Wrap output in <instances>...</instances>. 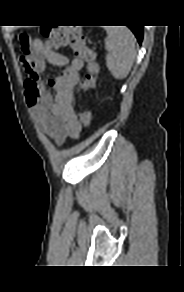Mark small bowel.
Listing matches in <instances>:
<instances>
[{
	"label": "small bowel",
	"instance_id": "obj_1",
	"mask_svg": "<svg viewBox=\"0 0 184 292\" xmlns=\"http://www.w3.org/2000/svg\"><path fill=\"white\" fill-rule=\"evenodd\" d=\"M22 50L21 63L28 74L25 97L36 122L57 144L76 138L81 125L75 113L73 88L80 79L84 62L49 50L39 40L30 39L28 46L22 45ZM47 63L64 69L46 80L41 73Z\"/></svg>",
	"mask_w": 184,
	"mask_h": 292
}]
</instances>
